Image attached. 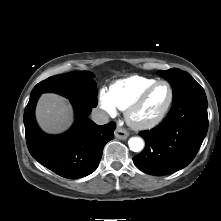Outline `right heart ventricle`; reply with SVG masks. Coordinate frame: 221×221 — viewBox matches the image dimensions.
<instances>
[{
	"instance_id": "obj_1",
	"label": "right heart ventricle",
	"mask_w": 221,
	"mask_h": 221,
	"mask_svg": "<svg viewBox=\"0 0 221 221\" xmlns=\"http://www.w3.org/2000/svg\"><path fill=\"white\" fill-rule=\"evenodd\" d=\"M156 81L154 78L130 76L115 81L108 92L114 105L120 110H126L148 86Z\"/></svg>"
}]
</instances>
